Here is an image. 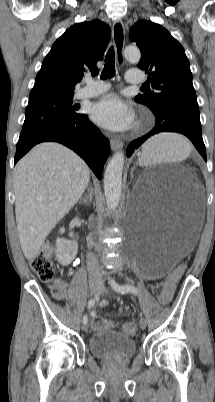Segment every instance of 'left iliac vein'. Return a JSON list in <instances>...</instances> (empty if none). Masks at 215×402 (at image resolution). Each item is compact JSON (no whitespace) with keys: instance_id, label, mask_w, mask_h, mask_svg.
Instances as JSON below:
<instances>
[{"instance_id":"obj_1","label":"left iliac vein","mask_w":215,"mask_h":402,"mask_svg":"<svg viewBox=\"0 0 215 402\" xmlns=\"http://www.w3.org/2000/svg\"><path fill=\"white\" fill-rule=\"evenodd\" d=\"M103 292H105L106 293V289L105 288H103ZM146 326H147V321H146V319L144 318V317H142L141 319H140V327H141V329H146Z\"/></svg>"}]
</instances>
